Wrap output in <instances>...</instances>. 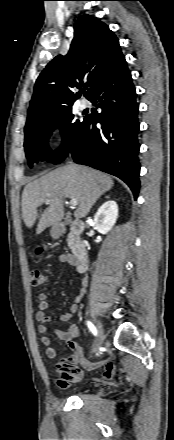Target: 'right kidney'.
I'll return each mask as SVG.
<instances>
[{"instance_id": "1", "label": "right kidney", "mask_w": 174, "mask_h": 440, "mask_svg": "<svg viewBox=\"0 0 174 440\" xmlns=\"http://www.w3.org/2000/svg\"><path fill=\"white\" fill-rule=\"evenodd\" d=\"M118 218V205L115 201L109 200L105 202L94 216L96 229L101 234H107Z\"/></svg>"}]
</instances>
